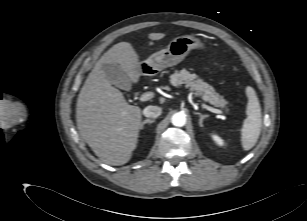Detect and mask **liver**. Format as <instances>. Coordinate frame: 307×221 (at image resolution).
<instances>
[{
	"instance_id": "obj_1",
	"label": "liver",
	"mask_w": 307,
	"mask_h": 221,
	"mask_svg": "<svg viewBox=\"0 0 307 221\" xmlns=\"http://www.w3.org/2000/svg\"><path fill=\"white\" fill-rule=\"evenodd\" d=\"M163 33H150L160 40ZM103 64H118L131 82L141 75L139 58L129 42L111 47L88 75L77 100L76 121L80 135L103 162L112 166L126 164L138 142L141 108L129 105L123 94L105 78Z\"/></svg>"
}]
</instances>
